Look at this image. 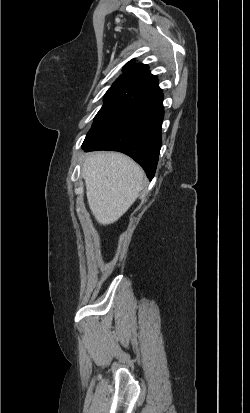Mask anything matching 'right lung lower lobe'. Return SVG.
I'll return each mask as SVG.
<instances>
[{
	"mask_svg": "<svg viewBox=\"0 0 250 413\" xmlns=\"http://www.w3.org/2000/svg\"><path fill=\"white\" fill-rule=\"evenodd\" d=\"M162 92L133 99L119 119L85 151L111 150L134 159L152 180L156 171L164 116Z\"/></svg>",
	"mask_w": 250,
	"mask_h": 413,
	"instance_id": "1",
	"label": "right lung lower lobe"
}]
</instances>
